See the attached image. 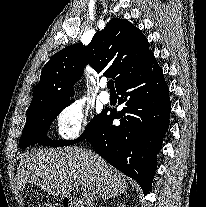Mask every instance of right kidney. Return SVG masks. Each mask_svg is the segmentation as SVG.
Instances as JSON below:
<instances>
[{
	"label": "right kidney",
	"instance_id": "right-kidney-1",
	"mask_svg": "<svg viewBox=\"0 0 206 207\" xmlns=\"http://www.w3.org/2000/svg\"><path fill=\"white\" fill-rule=\"evenodd\" d=\"M117 207H125V205L124 204H120Z\"/></svg>",
	"mask_w": 206,
	"mask_h": 207
}]
</instances>
